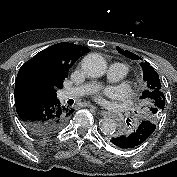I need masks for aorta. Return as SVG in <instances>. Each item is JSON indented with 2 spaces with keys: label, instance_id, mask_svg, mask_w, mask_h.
I'll return each instance as SVG.
<instances>
[{
  "label": "aorta",
  "instance_id": "obj_1",
  "mask_svg": "<svg viewBox=\"0 0 177 177\" xmlns=\"http://www.w3.org/2000/svg\"><path fill=\"white\" fill-rule=\"evenodd\" d=\"M81 67L87 76L98 78L106 71V61L98 53H90L83 58ZM115 130V121L111 118H104L101 125V131L106 135H111Z\"/></svg>",
  "mask_w": 177,
  "mask_h": 177
}]
</instances>
